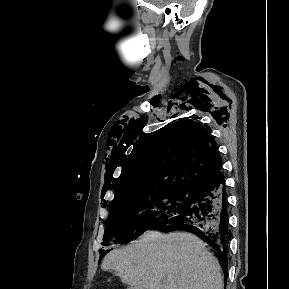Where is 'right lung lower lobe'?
Returning a JSON list of instances; mask_svg holds the SVG:
<instances>
[{"instance_id": "obj_1", "label": "right lung lower lobe", "mask_w": 289, "mask_h": 289, "mask_svg": "<svg viewBox=\"0 0 289 289\" xmlns=\"http://www.w3.org/2000/svg\"><path fill=\"white\" fill-rule=\"evenodd\" d=\"M191 193L192 198L185 211L170 218L156 230L162 232L184 230L197 235L215 251L226 279L227 250L231 233L223 173L196 186Z\"/></svg>"}]
</instances>
